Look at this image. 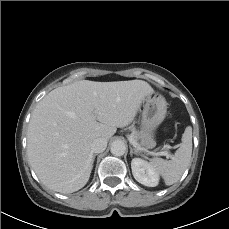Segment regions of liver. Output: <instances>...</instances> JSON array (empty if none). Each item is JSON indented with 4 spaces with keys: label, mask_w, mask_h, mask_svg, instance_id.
I'll use <instances>...</instances> for the list:
<instances>
[{
    "label": "liver",
    "mask_w": 229,
    "mask_h": 229,
    "mask_svg": "<svg viewBox=\"0 0 229 229\" xmlns=\"http://www.w3.org/2000/svg\"><path fill=\"white\" fill-rule=\"evenodd\" d=\"M153 88L142 80H81L49 92L28 125L27 154L40 181L60 193L86 185L93 163L91 143L109 140L135 119Z\"/></svg>",
    "instance_id": "6515ba94"
}]
</instances>
